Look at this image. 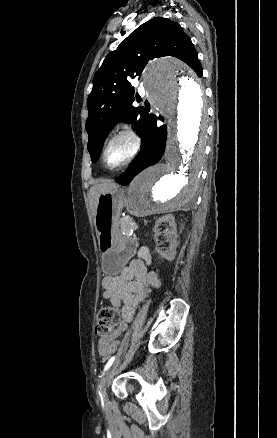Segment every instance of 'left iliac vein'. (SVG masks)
<instances>
[{"label":"left iliac vein","mask_w":277,"mask_h":438,"mask_svg":"<svg viewBox=\"0 0 277 438\" xmlns=\"http://www.w3.org/2000/svg\"><path fill=\"white\" fill-rule=\"evenodd\" d=\"M115 366H116V363L113 364L109 369L106 370V372L103 374V377H102L101 382H100V386H101V389H100V399L104 403L107 402L106 383H107V380H108L111 372L115 368Z\"/></svg>","instance_id":"obj_1"}]
</instances>
